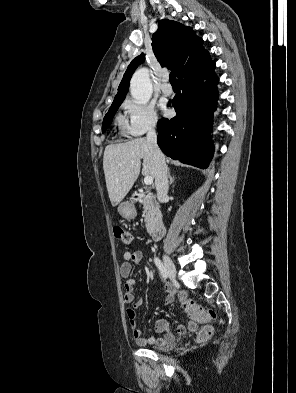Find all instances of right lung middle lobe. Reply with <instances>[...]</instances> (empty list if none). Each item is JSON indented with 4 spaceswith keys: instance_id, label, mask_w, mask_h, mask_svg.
I'll return each instance as SVG.
<instances>
[{
    "instance_id": "obj_1",
    "label": "right lung middle lobe",
    "mask_w": 296,
    "mask_h": 393,
    "mask_svg": "<svg viewBox=\"0 0 296 393\" xmlns=\"http://www.w3.org/2000/svg\"><path fill=\"white\" fill-rule=\"evenodd\" d=\"M122 102L123 100L113 101L108 113L104 117L103 124H102V132H105V130L109 127L112 118L114 117L116 111L118 110Z\"/></svg>"
}]
</instances>
